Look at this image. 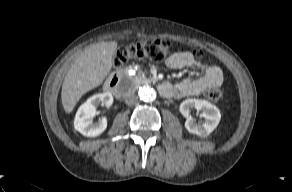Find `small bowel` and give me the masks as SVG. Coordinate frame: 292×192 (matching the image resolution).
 <instances>
[{"label": "small bowel", "instance_id": "c3829d8e", "mask_svg": "<svg viewBox=\"0 0 292 192\" xmlns=\"http://www.w3.org/2000/svg\"><path fill=\"white\" fill-rule=\"evenodd\" d=\"M166 65L171 69L185 67H200L202 74L179 81L175 85L170 84V92L165 97H186L199 95L208 88L219 86L223 81L222 70L215 65L200 63L191 52H176L168 57Z\"/></svg>", "mask_w": 292, "mask_h": 192}]
</instances>
